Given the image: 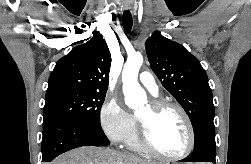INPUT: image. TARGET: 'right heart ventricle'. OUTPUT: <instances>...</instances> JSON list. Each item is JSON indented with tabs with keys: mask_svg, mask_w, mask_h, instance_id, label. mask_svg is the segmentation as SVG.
Returning <instances> with one entry per match:
<instances>
[{
	"mask_svg": "<svg viewBox=\"0 0 251 164\" xmlns=\"http://www.w3.org/2000/svg\"><path fill=\"white\" fill-rule=\"evenodd\" d=\"M125 142L127 146L129 147V149L134 151L135 153L147 154V152L144 150V148L142 147L140 143L139 132L136 125L134 127L133 132L131 133V135L128 137V139Z\"/></svg>",
	"mask_w": 251,
	"mask_h": 164,
	"instance_id": "obj_1",
	"label": "right heart ventricle"
}]
</instances>
